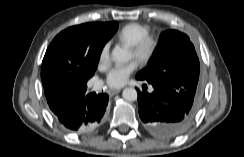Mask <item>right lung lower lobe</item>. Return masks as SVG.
Instances as JSON below:
<instances>
[{"label": "right lung lower lobe", "mask_w": 244, "mask_h": 157, "mask_svg": "<svg viewBox=\"0 0 244 157\" xmlns=\"http://www.w3.org/2000/svg\"><path fill=\"white\" fill-rule=\"evenodd\" d=\"M87 87H65L46 95L57 122L65 129L87 133L96 129L105 118L107 94H85Z\"/></svg>", "instance_id": "1"}]
</instances>
